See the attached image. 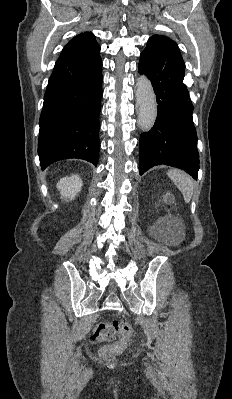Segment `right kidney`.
<instances>
[{"label":"right kidney","mask_w":232,"mask_h":399,"mask_svg":"<svg viewBox=\"0 0 232 399\" xmlns=\"http://www.w3.org/2000/svg\"><path fill=\"white\" fill-rule=\"evenodd\" d=\"M82 180H80L77 174H72V176H66V178H61L57 184V188L61 194V198L65 200H74L78 192L82 188Z\"/></svg>","instance_id":"1"}]
</instances>
